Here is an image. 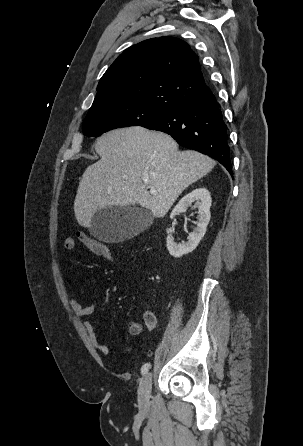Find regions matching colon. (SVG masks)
Here are the masks:
<instances>
[{
    "label": "colon",
    "instance_id": "colon-1",
    "mask_svg": "<svg viewBox=\"0 0 303 446\" xmlns=\"http://www.w3.org/2000/svg\"><path fill=\"white\" fill-rule=\"evenodd\" d=\"M98 242H99V245H98V249H97V256L102 257L106 260H110V261L114 260L115 257L113 255V253L111 252V250L109 249V247L103 242H100V241H98Z\"/></svg>",
    "mask_w": 303,
    "mask_h": 446
}]
</instances>
